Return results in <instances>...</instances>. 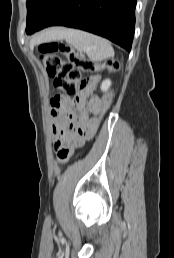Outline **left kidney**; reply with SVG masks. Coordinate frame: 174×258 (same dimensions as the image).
I'll list each match as a JSON object with an SVG mask.
<instances>
[{"label": "left kidney", "mask_w": 174, "mask_h": 258, "mask_svg": "<svg viewBox=\"0 0 174 258\" xmlns=\"http://www.w3.org/2000/svg\"><path fill=\"white\" fill-rule=\"evenodd\" d=\"M110 85H111L110 79L104 80V81L102 82V84H101V90H102L103 92H106V91L109 89Z\"/></svg>", "instance_id": "1"}]
</instances>
